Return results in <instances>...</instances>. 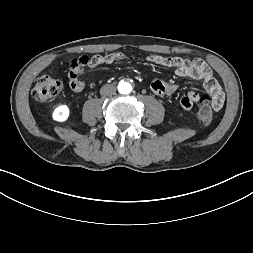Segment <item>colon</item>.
Segmentation results:
<instances>
[{"label": "colon", "instance_id": "1", "mask_svg": "<svg viewBox=\"0 0 253 253\" xmlns=\"http://www.w3.org/2000/svg\"><path fill=\"white\" fill-rule=\"evenodd\" d=\"M113 61V57L110 55H96L91 59V66H97L102 63H109ZM84 64L74 58L69 65V89L76 93L81 94L84 91H88L92 88L93 83L90 79H80L82 72L84 71ZM63 88L62 80L60 78L42 74L35 80L32 88V97L39 102L47 101L54 97H57ZM198 119L204 126H209L214 121V112L211 106L209 97H203L200 99V108L198 111Z\"/></svg>", "mask_w": 253, "mask_h": 253}]
</instances>
